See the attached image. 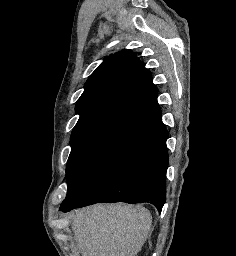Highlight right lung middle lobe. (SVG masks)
<instances>
[{
  "label": "right lung middle lobe",
  "instance_id": "obj_1",
  "mask_svg": "<svg viewBox=\"0 0 236 256\" xmlns=\"http://www.w3.org/2000/svg\"><path fill=\"white\" fill-rule=\"evenodd\" d=\"M152 126L149 122L118 114L76 124L70 140L64 201L74 196L105 161Z\"/></svg>",
  "mask_w": 236,
  "mask_h": 256
}]
</instances>
